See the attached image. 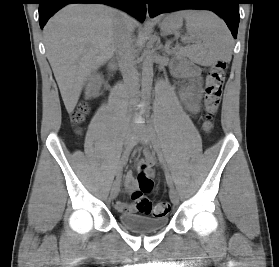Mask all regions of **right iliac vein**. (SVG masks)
<instances>
[{"label":"right iliac vein","instance_id":"1","mask_svg":"<svg viewBox=\"0 0 279 267\" xmlns=\"http://www.w3.org/2000/svg\"><path fill=\"white\" fill-rule=\"evenodd\" d=\"M134 131L135 130L132 127L127 128V131H126V134H125V139H124L125 148L130 146L131 143L133 142ZM119 187H120V180H119V178H117L112 184V188H111V191H110V198L111 199H114L117 196L118 191H119Z\"/></svg>","mask_w":279,"mask_h":267}]
</instances>
